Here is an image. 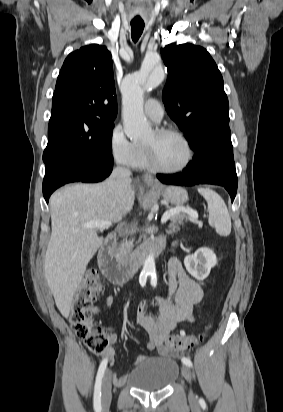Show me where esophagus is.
Wrapping results in <instances>:
<instances>
[{
  "mask_svg": "<svg viewBox=\"0 0 283 412\" xmlns=\"http://www.w3.org/2000/svg\"><path fill=\"white\" fill-rule=\"evenodd\" d=\"M144 182L147 183L148 185H154L155 180L150 174H145L143 176Z\"/></svg>",
  "mask_w": 283,
  "mask_h": 412,
  "instance_id": "obj_1",
  "label": "esophagus"
}]
</instances>
